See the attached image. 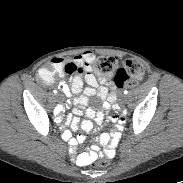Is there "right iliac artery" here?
Returning <instances> with one entry per match:
<instances>
[{"label":"right iliac artery","mask_w":183,"mask_h":183,"mask_svg":"<svg viewBox=\"0 0 183 183\" xmlns=\"http://www.w3.org/2000/svg\"><path fill=\"white\" fill-rule=\"evenodd\" d=\"M53 92L54 94H57V90H54ZM57 112H58V108L55 109L54 114L56 115Z\"/></svg>","instance_id":"right-iliac-artery-1"}]
</instances>
